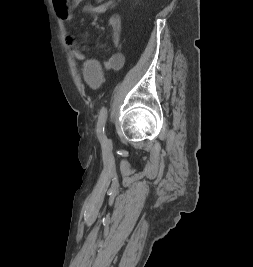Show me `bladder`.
I'll return each mask as SVG.
<instances>
[{"label":"bladder","instance_id":"31cf9c89","mask_svg":"<svg viewBox=\"0 0 253 267\" xmlns=\"http://www.w3.org/2000/svg\"><path fill=\"white\" fill-rule=\"evenodd\" d=\"M84 78L90 86H97L100 82L101 66L97 61L89 60L84 64Z\"/></svg>","mask_w":253,"mask_h":267}]
</instances>
